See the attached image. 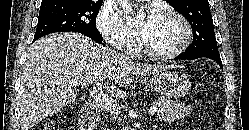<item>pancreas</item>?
I'll list each match as a JSON object with an SVG mask.
<instances>
[{"mask_svg": "<svg viewBox=\"0 0 249 130\" xmlns=\"http://www.w3.org/2000/svg\"><path fill=\"white\" fill-rule=\"evenodd\" d=\"M157 107V116L164 122H172L176 119L184 118L193 111L192 106H185L182 103H174L173 101L163 97L158 99Z\"/></svg>", "mask_w": 249, "mask_h": 130, "instance_id": "obj_1", "label": "pancreas"}]
</instances>
